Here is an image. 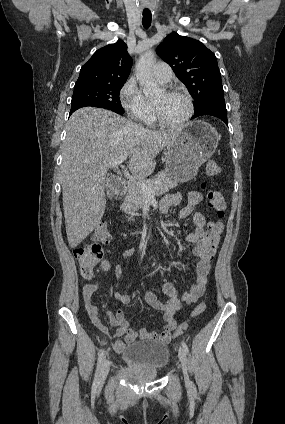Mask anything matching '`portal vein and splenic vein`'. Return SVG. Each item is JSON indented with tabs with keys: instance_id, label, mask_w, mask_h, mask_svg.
Returning a JSON list of instances; mask_svg holds the SVG:
<instances>
[{
	"instance_id": "portal-vein-and-splenic-vein-1",
	"label": "portal vein and splenic vein",
	"mask_w": 285,
	"mask_h": 424,
	"mask_svg": "<svg viewBox=\"0 0 285 424\" xmlns=\"http://www.w3.org/2000/svg\"><path fill=\"white\" fill-rule=\"evenodd\" d=\"M126 159H127V154H124L118 160L114 161L110 165L111 167H117ZM123 174L127 178L131 186L140 188L148 198L152 197L151 194L158 189V187H149L145 182L138 180L134 176L130 175L129 172L123 171Z\"/></svg>"
}]
</instances>
